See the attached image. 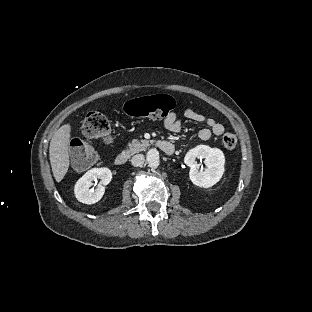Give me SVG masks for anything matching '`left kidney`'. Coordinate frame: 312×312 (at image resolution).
Returning a JSON list of instances; mask_svg holds the SVG:
<instances>
[{"label": "left kidney", "instance_id": "obj_1", "mask_svg": "<svg viewBox=\"0 0 312 312\" xmlns=\"http://www.w3.org/2000/svg\"><path fill=\"white\" fill-rule=\"evenodd\" d=\"M196 158H205V168L199 171L196 167ZM184 163L191 170L189 177L191 182L203 189H208L216 185L222 178L225 171V155L219 148H211L206 145H199L191 149L184 158Z\"/></svg>", "mask_w": 312, "mask_h": 312}]
</instances>
